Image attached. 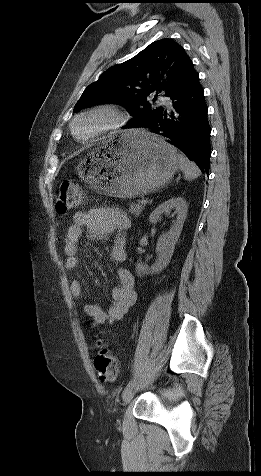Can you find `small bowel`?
<instances>
[{
    "label": "small bowel",
    "mask_w": 261,
    "mask_h": 476,
    "mask_svg": "<svg viewBox=\"0 0 261 476\" xmlns=\"http://www.w3.org/2000/svg\"><path fill=\"white\" fill-rule=\"evenodd\" d=\"M130 226L131 220L127 213L116 207L93 208L87 212L77 213L65 240L66 269L73 270L79 266L80 242L85 232L95 239H106L114 234L110 258L116 263L124 262L127 256L126 232ZM116 273L118 285L111 290L112 303L107 311L95 303L84 304L85 314L92 318L96 326L112 324L122 319L136 302L133 274L125 268H118ZM70 289L75 298L81 297L83 287L79 280H73Z\"/></svg>",
    "instance_id": "c3829d8e"
}]
</instances>
